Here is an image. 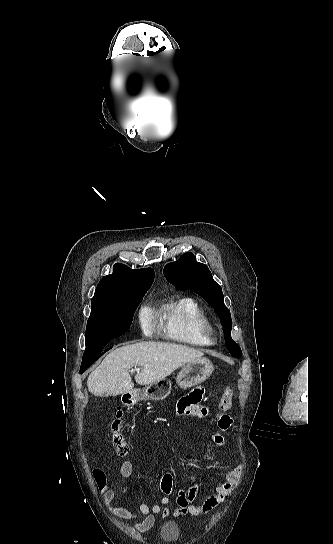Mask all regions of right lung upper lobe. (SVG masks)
Masks as SVG:
<instances>
[{
  "label": "right lung upper lobe",
  "instance_id": "cb5924a9",
  "mask_svg": "<svg viewBox=\"0 0 333 544\" xmlns=\"http://www.w3.org/2000/svg\"><path fill=\"white\" fill-rule=\"evenodd\" d=\"M154 280L151 268L131 270L125 265L115 264L113 274L104 276L97 285L92 302L128 297L147 291Z\"/></svg>",
  "mask_w": 333,
  "mask_h": 544
}]
</instances>
